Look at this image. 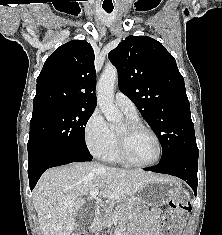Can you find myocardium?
Instances as JSON below:
<instances>
[{
	"mask_svg": "<svg viewBox=\"0 0 222 235\" xmlns=\"http://www.w3.org/2000/svg\"><path fill=\"white\" fill-rule=\"evenodd\" d=\"M139 131H146L151 134L158 145V154L154 160L148 163H139L134 161L129 153V142L131 137L139 132ZM117 138V153L120 160L130 166L138 167V168H146L157 164L162 156H163V144L159 137V135L149 126L140 122L139 120H131L128 119L125 123V131L124 132H116Z\"/></svg>",
	"mask_w": 222,
	"mask_h": 235,
	"instance_id": "myocardium-1",
	"label": "myocardium"
}]
</instances>
